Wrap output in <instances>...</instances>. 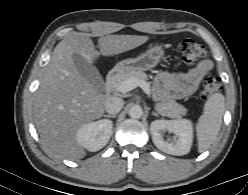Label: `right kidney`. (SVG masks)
Wrapping results in <instances>:
<instances>
[{"mask_svg":"<svg viewBox=\"0 0 248 195\" xmlns=\"http://www.w3.org/2000/svg\"><path fill=\"white\" fill-rule=\"evenodd\" d=\"M112 129L113 123L111 120L101 119L89 122L77 131V143L88 151H98L108 143L112 135Z\"/></svg>","mask_w":248,"mask_h":195,"instance_id":"1","label":"right kidney"}]
</instances>
